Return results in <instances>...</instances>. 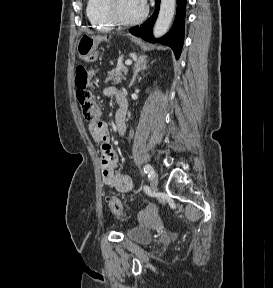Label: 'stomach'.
<instances>
[{"label":"stomach","mask_w":273,"mask_h":288,"mask_svg":"<svg viewBox=\"0 0 273 288\" xmlns=\"http://www.w3.org/2000/svg\"><path fill=\"white\" fill-rule=\"evenodd\" d=\"M98 42V37L82 35L77 43V53L85 61L93 56Z\"/></svg>","instance_id":"stomach-1"}]
</instances>
